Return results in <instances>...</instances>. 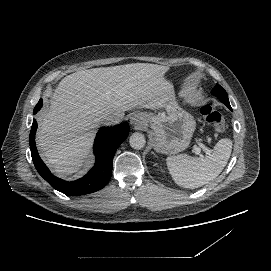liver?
Wrapping results in <instances>:
<instances>
[{
	"label": "liver",
	"mask_w": 271,
	"mask_h": 271,
	"mask_svg": "<svg viewBox=\"0 0 271 271\" xmlns=\"http://www.w3.org/2000/svg\"><path fill=\"white\" fill-rule=\"evenodd\" d=\"M169 67L133 63L78 71L65 77L52 95L51 107L39 119L38 148L57 173L82 168L97 118L121 119L133 109L162 110L172 95Z\"/></svg>",
	"instance_id": "6515ba94"
}]
</instances>
